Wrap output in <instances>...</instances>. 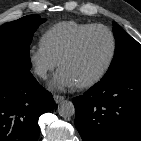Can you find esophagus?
<instances>
[{
	"instance_id": "esophagus-1",
	"label": "esophagus",
	"mask_w": 141,
	"mask_h": 141,
	"mask_svg": "<svg viewBox=\"0 0 141 141\" xmlns=\"http://www.w3.org/2000/svg\"><path fill=\"white\" fill-rule=\"evenodd\" d=\"M53 98L56 104L61 103L65 99V97L61 95H54Z\"/></svg>"
}]
</instances>
